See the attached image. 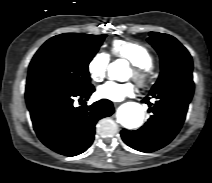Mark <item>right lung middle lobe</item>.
<instances>
[{"label": "right lung middle lobe", "instance_id": "1", "mask_svg": "<svg viewBox=\"0 0 212 183\" xmlns=\"http://www.w3.org/2000/svg\"><path fill=\"white\" fill-rule=\"evenodd\" d=\"M105 37V34L65 33L50 38L34 55L27 84L78 89L90 85L88 65Z\"/></svg>", "mask_w": 212, "mask_h": 183}]
</instances>
